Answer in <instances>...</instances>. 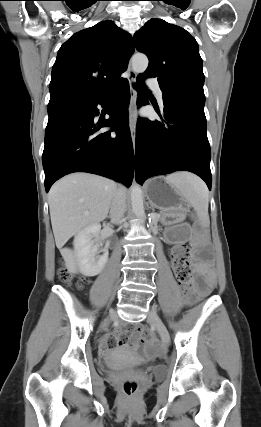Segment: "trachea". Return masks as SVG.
<instances>
[{
  "label": "trachea",
  "mask_w": 261,
  "mask_h": 427,
  "mask_svg": "<svg viewBox=\"0 0 261 427\" xmlns=\"http://www.w3.org/2000/svg\"><path fill=\"white\" fill-rule=\"evenodd\" d=\"M138 90H143V91H146V90H144V89H142V88H138L137 86H135Z\"/></svg>",
  "instance_id": "trachea-1"
}]
</instances>
